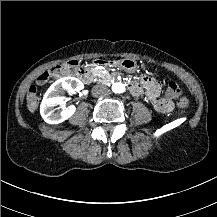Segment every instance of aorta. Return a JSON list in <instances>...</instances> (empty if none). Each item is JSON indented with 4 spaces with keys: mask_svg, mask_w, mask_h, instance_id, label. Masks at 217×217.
Instances as JSON below:
<instances>
[{
    "mask_svg": "<svg viewBox=\"0 0 217 217\" xmlns=\"http://www.w3.org/2000/svg\"><path fill=\"white\" fill-rule=\"evenodd\" d=\"M112 90L115 93H123L125 92V85L123 83H115L112 85Z\"/></svg>",
    "mask_w": 217,
    "mask_h": 217,
    "instance_id": "obj_1",
    "label": "aorta"
}]
</instances>
